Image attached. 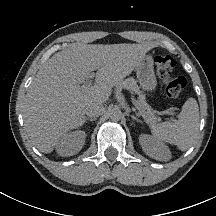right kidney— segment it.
Listing matches in <instances>:
<instances>
[{"label":"right kidney","mask_w":216,"mask_h":216,"mask_svg":"<svg viewBox=\"0 0 216 216\" xmlns=\"http://www.w3.org/2000/svg\"><path fill=\"white\" fill-rule=\"evenodd\" d=\"M85 137V132L81 130L64 134L56 145L57 153L64 157L78 153L85 143Z\"/></svg>","instance_id":"obj_1"}]
</instances>
